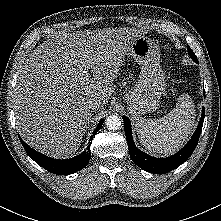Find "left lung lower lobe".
I'll use <instances>...</instances> for the list:
<instances>
[{"label":"left lung lower lobe","instance_id":"obj_1","mask_svg":"<svg viewBox=\"0 0 221 221\" xmlns=\"http://www.w3.org/2000/svg\"><path fill=\"white\" fill-rule=\"evenodd\" d=\"M205 95V91H204ZM124 120V130L126 134V139L128 143V149L130 153V157L133 162L142 168L145 171L155 173V174H163L172 171L173 169L177 168L181 165L184 161H186L191 154L193 153L203 126L204 118H205V108H202V115L199 122V125L194 132L190 141L176 154L167 157V158H156L139 150L136 145L134 144L132 138V129H131V122L130 119L123 116Z\"/></svg>","mask_w":221,"mask_h":221}]
</instances>
